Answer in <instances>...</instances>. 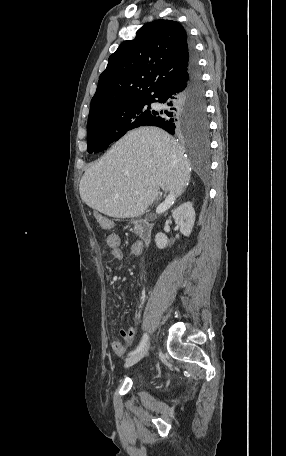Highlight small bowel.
<instances>
[{
    "instance_id": "small-bowel-1",
    "label": "small bowel",
    "mask_w": 286,
    "mask_h": 456,
    "mask_svg": "<svg viewBox=\"0 0 286 456\" xmlns=\"http://www.w3.org/2000/svg\"><path fill=\"white\" fill-rule=\"evenodd\" d=\"M106 243L110 248V256L112 259L118 261L125 259L126 253L120 246V238L117 234H109L107 236ZM142 250L143 245L140 242H135L130 246L127 255L130 257H136L142 253ZM120 335L125 342L132 343L135 338V329L133 327L123 328L120 331ZM112 349L116 355L122 356L126 351V346L119 341H113Z\"/></svg>"
}]
</instances>
